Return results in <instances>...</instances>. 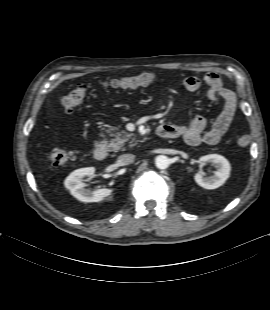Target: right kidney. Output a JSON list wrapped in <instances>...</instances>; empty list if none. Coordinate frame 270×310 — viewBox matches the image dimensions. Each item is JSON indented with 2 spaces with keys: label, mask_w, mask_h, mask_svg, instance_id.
<instances>
[{
  "label": "right kidney",
  "mask_w": 270,
  "mask_h": 310,
  "mask_svg": "<svg viewBox=\"0 0 270 310\" xmlns=\"http://www.w3.org/2000/svg\"><path fill=\"white\" fill-rule=\"evenodd\" d=\"M95 173L94 167L80 168L65 179L64 185L70 191L71 195L82 202H100L105 197L111 195L112 189L102 188L91 191L86 189L83 183L86 176H92Z\"/></svg>",
  "instance_id": "1"
}]
</instances>
